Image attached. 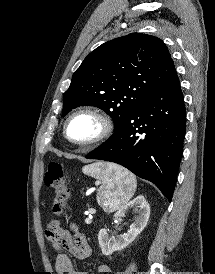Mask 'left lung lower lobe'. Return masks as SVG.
Masks as SVG:
<instances>
[{
  "mask_svg": "<svg viewBox=\"0 0 215 274\" xmlns=\"http://www.w3.org/2000/svg\"><path fill=\"white\" fill-rule=\"evenodd\" d=\"M186 131L178 76L132 110L114 134L85 156L120 164L154 183L171 201Z\"/></svg>",
  "mask_w": 215,
  "mask_h": 274,
  "instance_id": "obj_1",
  "label": "left lung lower lobe"
}]
</instances>
